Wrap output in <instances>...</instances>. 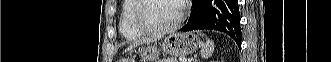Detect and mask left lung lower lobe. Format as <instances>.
Instances as JSON below:
<instances>
[{
  "instance_id": "1",
  "label": "left lung lower lobe",
  "mask_w": 331,
  "mask_h": 62,
  "mask_svg": "<svg viewBox=\"0 0 331 62\" xmlns=\"http://www.w3.org/2000/svg\"><path fill=\"white\" fill-rule=\"evenodd\" d=\"M238 0H193L188 23L180 31L218 30L230 35L241 46Z\"/></svg>"
}]
</instances>
